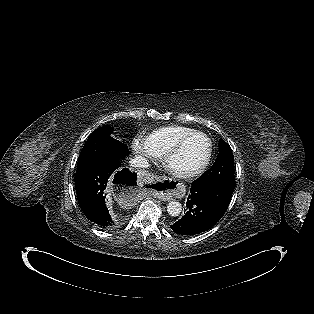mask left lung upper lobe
<instances>
[{
  "label": "left lung upper lobe",
  "mask_w": 314,
  "mask_h": 314,
  "mask_svg": "<svg viewBox=\"0 0 314 314\" xmlns=\"http://www.w3.org/2000/svg\"><path fill=\"white\" fill-rule=\"evenodd\" d=\"M196 182H234V156L223 139L219 141V153L212 167L201 175Z\"/></svg>",
  "instance_id": "5c2ea615"
}]
</instances>
